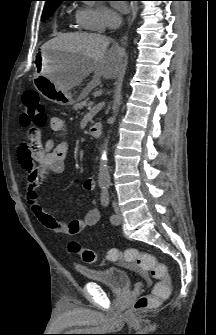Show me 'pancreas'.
I'll list each match as a JSON object with an SVG mask.
<instances>
[{"mask_svg": "<svg viewBox=\"0 0 216 335\" xmlns=\"http://www.w3.org/2000/svg\"><path fill=\"white\" fill-rule=\"evenodd\" d=\"M87 95L88 91H84L79 95L77 103L74 105V110H78L83 108L84 106H87Z\"/></svg>", "mask_w": 216, "mask_h": 335, "instance_id": "obj_1", "label": "pancreas"}]
</instances>
